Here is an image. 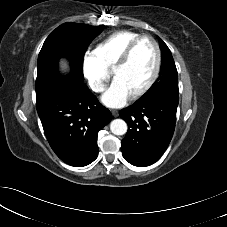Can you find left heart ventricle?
<instances>
[{"label":"left heart ventricle","mask_w":227,"mask_h":227,"mask_svg":"<svg viewBox=\"0 0 227 227\" xmlns=\"http://www.w3.org/2000/svg\"><path fill=\"white\" fill-rule=\"evenodd\" d=\"M156 64V52L153 44L142 41L134 50L130 61L115 74V80L119 81L129 95L137 92L151 78Z\"/></svg>","instance_id":"b2bd125f"}]
</instances>
